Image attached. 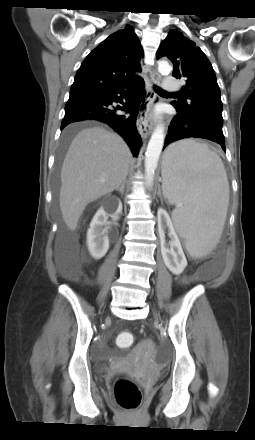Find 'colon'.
<instances>
[{"label": "colon", "instance_id": "colon-1", "mask_svg": "<svg viewBox=\"0 0 255 440\" xmlns=\"http://www.w3.org/2000/svg\"><path fill=\"white\" fill-rule=\"evenodd\" d=\"M119 347L127 348L134 343V336L130 332H121L116 337ZM114 396L118 405L125 410H136L141 403V394L137 385L128 380L119 379L114 387Z\"/></svg>", "mask_w": 255, "mask_h": 440}]
</instances>
